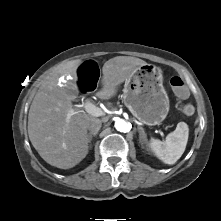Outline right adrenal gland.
Returning a JSON list of instances; mask_svg holds the SVG:
<instances>
[{"label": "right adrenal gland", "mask_w": 221, "mask_h": 221, "mask_svg": "<svg viewBox=\"0 0 221 221\" xmlns=\"http://www.w3.org/2000/svg\"><path fill=\"white\" fill-rule=\"evenodd\" d=\"M96 135H97L96 132H95V133H89V134H88V140H89V142H91L93 136L95 137Z\"/></svg>", "instance_id": "2a0ac1e0"}]
</instances>
